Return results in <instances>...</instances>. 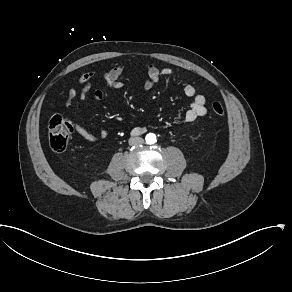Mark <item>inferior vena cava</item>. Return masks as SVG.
<instances>
[{
  "instance_id": "inferior-vena-cava-1",
  "label": "inferior vena cava",
  "mask_w": 292,
  "mask_h": 292,
  "mask_svg": "<svg viewBox=\"0 0 292 292\" xmlns=\"http://www.w3.org/2000/svg\"><path fill=\"white\" fill-rule=\"evenodd\" d=\"M128 143L131 146H137V145H142L144 143V140L141 137H131Z\"/></svg>"
}]
</instances>
